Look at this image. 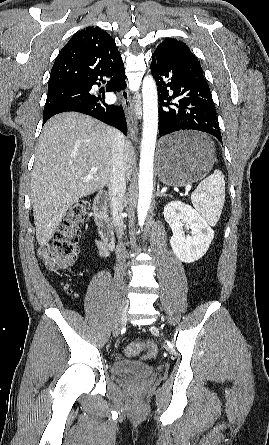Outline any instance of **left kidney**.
<instances>
[{
	"label": "left kidney",
	"instance_id": "obj_1",
	"mask_svg": "<svg viewBox=\"0 0 269 445\" xmlns=\"http://www.w3.org/2000/svg\"><path fill=\"white\" fill-rule=\"evenodd\" d=\"M164 218L173 233L171 248L180 261L192 263L205 255L214 231L196 210L183 202L172 201L164 207ZM184 228L190 230V234L185 235Z\"/></svg>",
	"mask_w": 269,
	"mask_h": 445
}]
</instances>
